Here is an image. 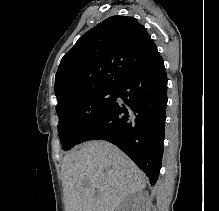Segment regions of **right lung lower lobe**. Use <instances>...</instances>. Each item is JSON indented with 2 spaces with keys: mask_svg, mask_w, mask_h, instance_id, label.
<instances>
[{
  "mask_svg": "<svg viewBox=\"0 0 219 211\" xmlns=\"http://www.w3.org/2000/svg\"><path fill=\"white\" fill-rule=\"evenodd\" d=\"M167 76L162 57L135 69L115 86V101L80 137L118 146L150 177L158 178L163 155Z\"/></svg>",
  "mask_w": 219,
  "mask_h": 211,
  "instance_id": "1",
  "label": "right lung lower lobe"
}]
</instances>
